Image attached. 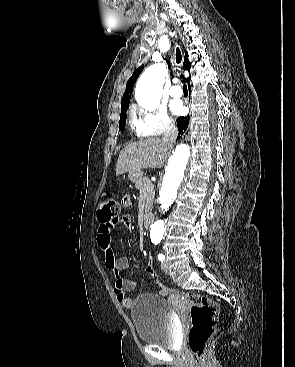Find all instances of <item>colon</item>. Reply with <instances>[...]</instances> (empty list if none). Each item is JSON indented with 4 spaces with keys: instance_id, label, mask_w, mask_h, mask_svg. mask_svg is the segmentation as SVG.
<instances>
[{
    "instance_id": "5ec220e1",
    "label": "colon",
    "mask_w": 295,
    "mask_h": 367,
    "mask_svg": "<svg viewBox=\"0 0 295 367\" xmlns=\"http://www.w3.org/2000/svg\"><path fill=\"white\" fill-rule=\"evenodd\" d=\"M117 210L116 202L104 196L100 203L98 220L103 223L113 220L117 216ZM154 267V264L150 262L146 271L157 283L162 285ZM161 292L163 294L180 295L190 302L192 326L188 334V346L201 359L204 356L208 341L215 333L219 313L218 304L206 295L196 292L181 293L163 285Z\"/></svg>"
}]
</instances>
